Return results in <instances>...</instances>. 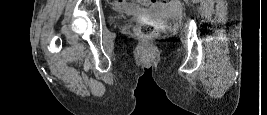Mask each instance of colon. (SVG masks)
<instances>
[{
	"mask_svg": "<svg viewBox=\"0 0 267 115\" xmlns=\"http://www.w3.org/2000/svg\"><path fill=\"white\" fill-rule=\"evenodd\" d=\"M168 1L169 0H163V1L151 0V2H159V3H166ZM159 33H160L159 29L152 24L141 25L135 30L136 36L145 41H149V40H153L157 38Z\"/></svg>",
	"mask_w": 267,
	"mask_h": 115,
	"instance_id": "1",
	"label": "colon"
}]
</instances>
